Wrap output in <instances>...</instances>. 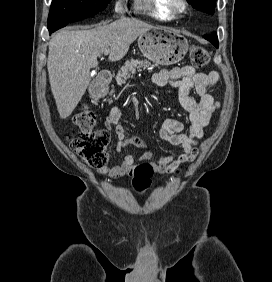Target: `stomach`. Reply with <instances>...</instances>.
I'll return each mask as SVG.
<instances>
[{"label": "stomach", "mask_w": 272, "mask_h": 282, "mask_svg": "<svg viewBox=\"0 0 272 282\" xmlns=\"http://www.w3.org/2000/svg\"><path fill=\"white\" fill-rule=\"evenodd\" d=\"M138 46L148 59L160 65L181 61L188 51V41L180 33L166 27H153L141 34Z\"/></svg>", "instance_id": "0dacf381"}]
</instances>
